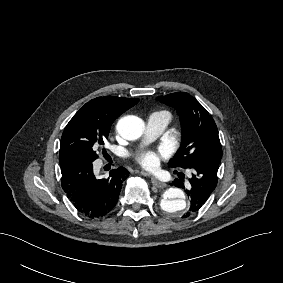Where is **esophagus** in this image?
<instances>
[{"mask_svg":"<svg viewBox=\"0 0 283 283\" xmlns=\"http://www.w3.org/2000/svg\"><path fill=\"white\" fill-rule=\"evenodd\" d=\"M143 175L147 176L148 174L143 172ZM151 182L153 185H155L158 188H164L167 186V184L165 182L159 181L158 179L151 177Z\"/></svg>","mask_w":283,"mask_h":283,"instance_id":"obj_1","label":"esophagus"}]
</instances>
